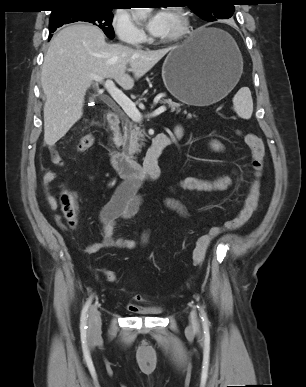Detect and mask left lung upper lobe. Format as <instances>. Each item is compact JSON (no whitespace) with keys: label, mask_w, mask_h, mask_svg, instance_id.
<instances>
[{"label":"left lung upper lobe","mask_w":306,"mask_h":387,"mask_svg":"<svg viewBox=\"0 0 306 387\" xmlns=\"http://www.w3.org/2000/svg\"><path fill=\"white\" fill-rule=\"evenodd\" d=\"M232 2L233 0H187L189 8L207 21L232 17L235 11Z\"/></svg>","instance_id":"obj_1"}]
</instances>
